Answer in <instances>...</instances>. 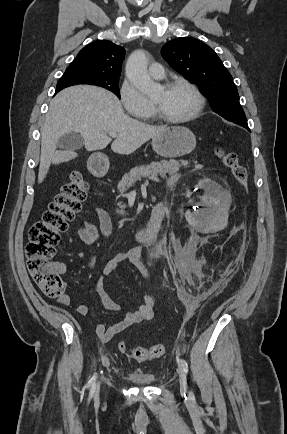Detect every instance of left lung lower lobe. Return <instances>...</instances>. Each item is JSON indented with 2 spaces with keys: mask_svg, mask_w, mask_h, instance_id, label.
<instances>
[{
  "mask_svg": "<svg viewBox=\"0 0 287 434\" xmlns=\"http://www.w3.org/2000/svg\"><path fill=\"white\" fill-rule=\"evenodd\" d=\"M225 119H227V120H229L231 122H234V123H236V124H238L240 126H243L244 128H246L247 130L250 131L245 117H228V118H225Z\"/></svg>",
  "mask_w": 287,
  "mask_h": 434,
  "instance_id": "0a47b994",
  "label": "left lung lower lobe"
}]
</instances>
